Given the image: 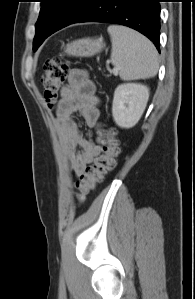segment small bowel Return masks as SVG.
Here are the masks:
<instances>
[{
    "label": "small bowel",
    "mask_w": 195,
    "mask_h": 299,
    "mask_svg": "<svg viewBox=\"0 0 195 299\" xmlns=\"http://www.w3.org/2000/svg\"><path fill=\"white\" fill-rule=\"evenodd\" d=\"M95 85L81 69L70 71L66 87L59 102L56 127L62 153L76 176H81L87 166L100 154L103 137L99 132L100 110L95 95ZM79 114L96 140L85 137L74 115Z\"/></svg>",
    "instance_id": "obj_1"
}]
</instances>
